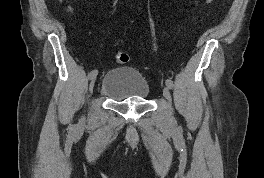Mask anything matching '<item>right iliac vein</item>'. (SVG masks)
Returning a JSON list of instances; mask_svg holds the SVG:
<instances>
[{
	"label": "right iliac vein",
	"mask_w": 264,
	"mask_h": 178,
	"mask_svg": "<svg viewBox=\"0 0 264 178\" xmlns=\"http://www.w3.org/2000/svg\"><path fill=\"white\" fill-rule=\"evenodd\" d=\"M96 76L92 77L89 84V91L92 92L95 84Z\"/></svg>",
	"instance_id": "1"
}]
</instances>
